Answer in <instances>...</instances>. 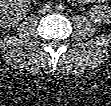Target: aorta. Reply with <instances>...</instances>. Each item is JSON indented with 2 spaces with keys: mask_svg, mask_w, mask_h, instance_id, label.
Wrapping results in <instances>:
<instances>
[{
  "mask_svg": "<svg viewBox=\"0 0 111 106\" xmlns=\"http://www.w3.org/2000/svg\"><path fill=\"white\" fill-rule=\"evenodd\" d=\"M55 10L58 12H61L63 10V6L62 5H56Z\"/></svg>",
  "mask_w": 111,
  "mask_h": 106,
  "instance_id": "762f6f07",
  "label": "aorta"
}]
</instances>
